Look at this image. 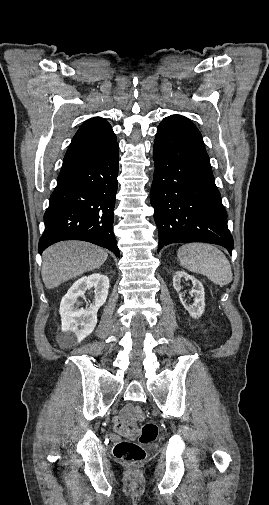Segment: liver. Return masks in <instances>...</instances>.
<instances>
[{
    "label": "liver",
    "mask_w": 269,
    "mask_h": 505,
    "mask_svg": "<svg viewBox=\"0 0 269 505\" xmlns=\"http://www.w3.org/2000/svg\"><path fill=\"white\" fill-rule=\"evenodd\" d=\"M108 254L102 248L84 241H62L43 253L42 280L47 289L99 268Z\"/></svg>",
    "instance_id": "liver-1"
}]
</instances>
